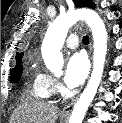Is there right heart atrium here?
<instances>
[{"label":"right heart atrium","mask_w":122,"mask_h":123,"mask_svg":"<svg viewBox=\"0 0 122 123\" xmlns=\"http://www.w3.org/2000/svg\"><path fill=\"white\" fill-rule=\"evenodd\" d=\"M43 76L46 80V84H47L48 90L51 95L59 94L62 92L63 87L58 79H56L55 77H52L50 75H46V74H43Z\"/></svg>","instance_id":"d8ad5b80"}]
</instances>
